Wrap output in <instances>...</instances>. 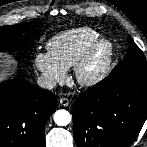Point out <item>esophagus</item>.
Here are the masks:
<instances>
[{"instance_id": "esophagus-1", "label": "esophagus", "mask_w": 147, "mask_h": 147, "mask_svg": "<svg viewBox=\"0 0 147 147\" xmlns=\"http://www.w3.org/2000/svg\"><path fill=\"white\" fill-rule=\"evenodd\" d=\"M59 102H60V104L62 106H65V107L70 105L69 99L68 98H65V97L60 98Z\"/></svg>"}]
</instances>
